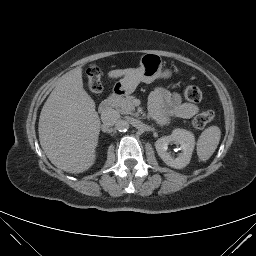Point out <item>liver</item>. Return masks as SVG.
<instances>
[{
	"instance_id": "obj_1",
	"label": "liver",
	"mask_w": 256,
	"mask_h": 256,
	"mask_svg": "<svg viewBox=\"0 0 256 256\" xmlns=\"http://www.w3.org/2000/svg\"><path fill=\"white\" fill-rule=\"evenodd\" d=\"M134 70H112L108 76L118 78ZM38 132L42 149L56 167L82 173L94 164L100 119L83 88L82 68L66 73L53 89L41 110Z\"/></svg>"
}]
</instances>
